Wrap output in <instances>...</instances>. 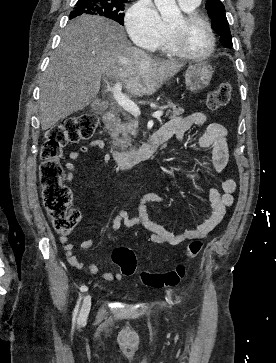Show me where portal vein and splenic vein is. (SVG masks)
<instances>
[{
    "instance_id": "1",
    "label": "portal vein and splenic vein",
    "mask_w": 276,
    "mask_h": 363,
    "mask_svg": "<svg viewBox=\"0 0 276 363\" xmlns=\"http://www.w3.org/2000/svg\"><path fill=\"white\" fill-rule=\"evenodd\" d=\"M122 82H117L113 86L109 87V90L113 94L116 102L127 112L131 113L133 116L138 117L141 114L139 107L126 97L122 93ZM163 115V111H156L152 114L154 118H160Z\"/></svg>"
}]
</instances>
